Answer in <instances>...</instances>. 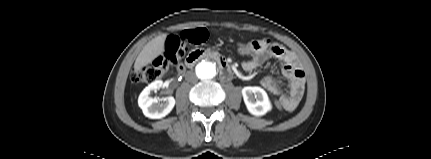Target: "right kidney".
Instances as JSON below:
<instances>
[{"instance_id":"right-kidney-1","label":"right kidney","mask_w":431,"mask_h":159,"mask_svg":"<svg viewBox=\"0 0 431 159\" xmlns=\"http://www.w3.org/2000/svg\"><path fill=\"white\" fill-rule=\"evenodd\" d=\"M163 86L161 80H156L149 84L139 95L138 105L142 109L143 114L151 119H160L168 115L175 106L174 97L170 96L164 99V102L159 98H152V92H157Z\"/></svg>"}]
</instances>
